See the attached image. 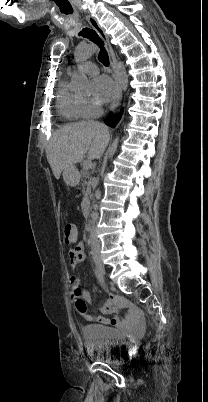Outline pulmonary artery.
I'll use <instances>...</instances> for the list:
<instances>
[{
	"instance_id": "pulmonary-artery-1",
	"label": "pulmonary artery",
	"mask_w": 208,
	"mask_h": 402,
	"mask_svg": "<svg viewBox=\"0 0 208 402\" xmlns=\"http://www.w3.org/2000/svg\"><path fill=\"white\" fill-rule=\"evenodd\" d=\"M80 51H86L85 47L81 46ZM88 54H91V53H88ZM76 68L84 71L87 74H95L98 70L97 65L92 62H80V63L77 62V64L75 66L69 67L68 71L73 72Z\"/></svg>"
}]
</instances>
